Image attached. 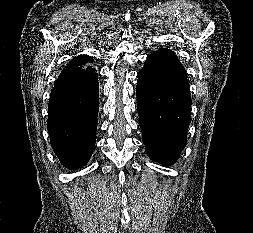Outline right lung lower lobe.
I'll return each mask as SVG.
<instances>
[{
    "label": "right lung lower lobe",
    "instance_id": "right-lung-lower-lobe-1",
    "mask_svg": "<svg viewBox=\"0 0 253 233\" xmlns=\"http://www.w3.org/2000/svg\"><path fill=\"white\" fill-rule=\"evenodd\" d=\"M95 68L64 69L51 92L47 127L51 146L61 163L70 169L83 167L96 141L99 109Z\"/></svg>",
    "mask_w": 253,
    "mask_h": 233
}]
</instances>
